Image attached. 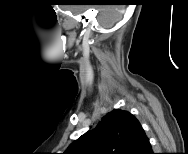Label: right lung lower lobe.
<instances>
[{
    "mask_svg": "<svg viewBox=\"0 0 188 154\" xmlns=\"http://www.w3.org/2000/svg\"><path fill=\"white\" fill-rule=\"evenodd\" d=\"M146 154H153L152 148H151V150L147 151Z\"/></svg>",
    "mask_w": 188,
    "mask_h": 154,
    "instance_id": "obj_1",
    "label": "right lung lower lobe"
}]
</instances>
